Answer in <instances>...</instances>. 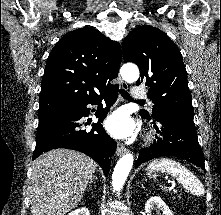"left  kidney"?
<instances>
[{"instance_id":"obj_1","label":"left kidney","mask_w":221,"mask_h":215,"mask_svg":"<svg viewBox=\"0 0 221 215\" xmlns=\"http://www.w3.org/2000/svg\"><path fill=\"white\" fill-rule=\"evenodd\" d=\"M153 209H161L163 215H173L169 207L163 202L159 196L151 197L145 204V212L151 215Z\"/></svg>"}]
</instances>
